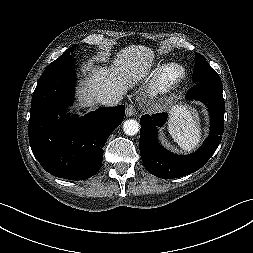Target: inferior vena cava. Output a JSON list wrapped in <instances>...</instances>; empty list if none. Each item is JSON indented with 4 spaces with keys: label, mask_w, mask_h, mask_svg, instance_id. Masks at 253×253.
Here are the masks:
<instances>
[{
    "label": "inferior vena cava",
    "mask_w": 253,
    "mask_h": 253,
    "mask_svg": "<svg viewBox=\"0 0 253 253\" xmlns=\"http://www.w3.org/2000/svg\"><path fill=\"white\" fill-rule=\"evenodd\" d=\"M122 99V96H113V95H98L97 101L103 106H116L119 101Z\"/></svg>",
    "instance_id": "obj_1"
}]
</instances>
